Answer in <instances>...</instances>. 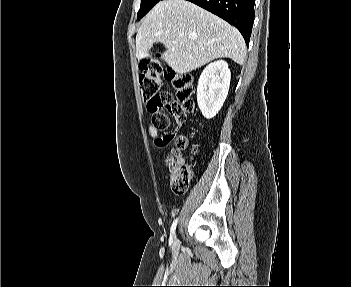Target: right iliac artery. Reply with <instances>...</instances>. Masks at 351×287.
Instances as JSON below:
<instances>
[{"mask_svg":"<svg viewBox=\"0 0 351 287\" xmlns=\"http://www.w3.org/2000/svg\"><path fill=\"white\" fill-rule=\"evenodd\" d=\"M177 222H178V218H176L173 221V224L171 226L170 232H171V237H170V242H173V239L175 238V230H176V226H177Z\"/></svg>","mask_w":351,"mask_h":287,"instance_id":"obj_1","label":"right iliac artery"}]
</instances>
